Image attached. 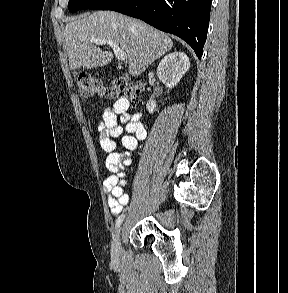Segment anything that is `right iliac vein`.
<instances>
[{"mask_svg": "<svg viewBox=\"0 0 288 293\" xmlns=\"http://www.w3.org/2000/svg\"><path fill=\"white\" fill-rule=\"evenodd\" d=\"M120 235H121V227L117 230L115 236L113 237L111 255L113 260H118L121 251V243H120Z\"/></svg>", "mask_w": 288, "mask_h": 293, "instance_id": "1", "label": "right iliac vein"}]
</instances>
